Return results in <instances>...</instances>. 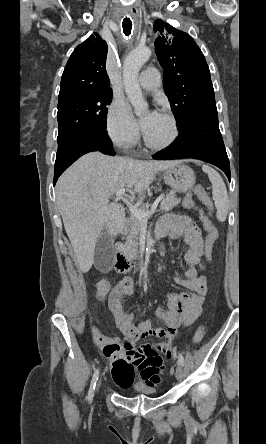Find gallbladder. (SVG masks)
Masks as SVG:
<instances>
[{"label":"gallbladder","instance_id":"bac80fb5","mask_svg":"<svg viewBox=\"0 0 266 444\" xmlns=\"http://www.w3.org/2000/svg\"><path fill=\"white\" fill-rule=\"evenodd\" d=\"M114 264V249L109 233L103 234L98 240L94 253V265L103 272H108Z\"/></svg>","mask_w":266,"mask_h":444}]
</instances>
